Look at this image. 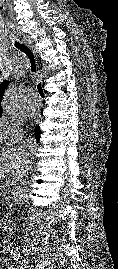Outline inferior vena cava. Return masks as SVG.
Listing matches in <instances>:
<instances>
[{
    "mask_svg": "<svg viewBox=\"0 0 118 269\" xmlns=\"http://www.w3.org/2000/svg\"><path fill=\"white\" fill-rule=\"evenodd\" d=\"M24 147L26 149V158L24 161V168L26 169L28 167V165L32 162V157L30 154V150L32 149V145L30 142H27Z\"/></svg>",
    "mask_w": 118,
    "mask_h": 269,
    "instance_id": "inferior-vena-cava-1",
    "label": "inferior vena cava"
}]
</instances>
